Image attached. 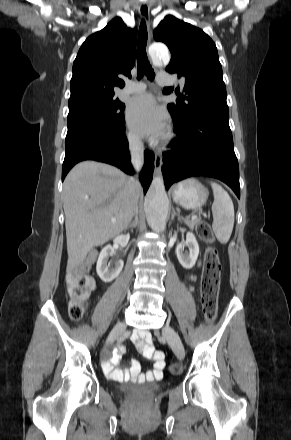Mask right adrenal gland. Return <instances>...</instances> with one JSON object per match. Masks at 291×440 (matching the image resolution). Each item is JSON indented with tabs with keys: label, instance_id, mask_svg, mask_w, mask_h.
I'll list each match as a JSON object with an SVG mask.
<instances>
[{
	"label": "right adrenal gland",
	"instance_id": "obj_1",
	"mask_svg": "<svg viewBox=\"0 0 291 440\" xmlns=\"http://www.w3.org/2000/svg\"><path fill=\"white\" fill-rule=\"evenodd\" d=\"M137 225H138V217H136V219H135L132 223H130V224L128 225L127 229H129V228H130V229L136 228Z\"/></svg>",
	"mask_w": 291,
	"mask_h": 440
}]
</instances>
